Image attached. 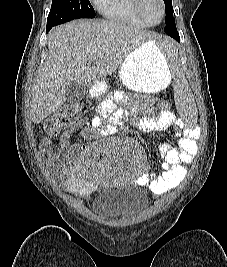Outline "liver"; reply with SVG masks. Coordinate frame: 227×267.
<instances>
[{
	"instance_id": "6515ba94",
	"label": "liver",
	"mask_w": 227,
	"mask_h": 267,
	"mask_svg": "<svg viewBox=\"0 0 227 267\" xmlns=\"http://www.w3.org/2000/svg\"><path fill=\"white\" fill-rule=\"evenodd\" d=\"M152 39L148 31L116 21L81 19L55 27L31 90L32 121L39 124L59 110L72 82L89 87L114 73L129 53Z\"/></svg>"
}]
</instances>
